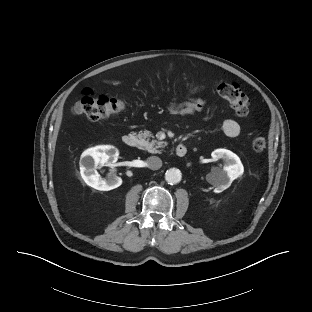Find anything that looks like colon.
Listing matches in <instances>:
<instances>
[{
    "instance_id": "colon-1",
    "label": "colon",
    "mask_w": 312,
    "mask_h": 312,
    "mask_svg": "<svg viewBox=\"0 0 312 312\" xmlns=\"http://www.w3.org/2000/svg\"><path fill=\"white\" fill-rule=\"evenodd\" d=\"M219 95L227 100L235 114L245 117L250 111V101L242 93L239 86L232 82H221L217 85ZM124 108L122 100L106 95H95L90 90H85L75 111L84 114L91 121L107 119L119 114ZM267 146V141L262 136L252 140V148L256 152H262Z\"/></svg>"
}]
</instances>
